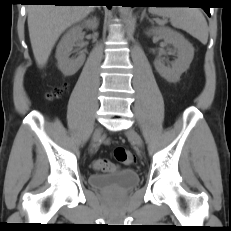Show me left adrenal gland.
Segmentation results:
<instances>
[{
  "instance_id": "1",
  "label": "left adrenal gland",
  "mask_w": 231,
  "mask_h": 231,
  "mask_svg": "<svg viewBox=\"0 0 231 231\" xmlns=\"http://www.w3.org/2000/svg\"><path fill=\"white\" fill-rule=\"evenodd\" d=\"M145 17H146L147 19H149V18H148V15L146 14V11L144 10V11L142 12V14H141L140 22H142L143 19H144Z\"/></svg>"
}]
</instances>
